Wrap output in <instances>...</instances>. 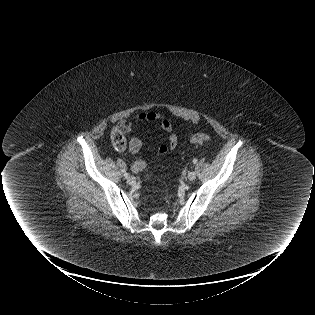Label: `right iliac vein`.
I'll use <instances>...</instances> for the list:
<instances>
[{"mask_svg": "<svg viewBox=\"0 0 315 315\" xmlns=\"http://www.w3.org/2000/svg\"><path fill=\"white\" fill-rule=\"evenodd\" d=\"M127 183H128L129 185H134V184L136 183L135 177H134V176L128 177Z\"/></svg>", "mask_w": 315, "mask_h": 315, "instance_id": "63e3f726", "label": "right iliac vein"}]
</instances>
